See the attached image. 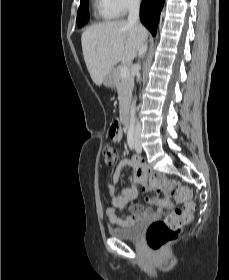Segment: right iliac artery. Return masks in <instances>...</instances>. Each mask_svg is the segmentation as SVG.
I'll list each match as a JSON object with an SVG mask.
<instances>
[{"mask_svg":"<svg viewBox=\"0 0 229 280\" xmlns=\"http://www.w3.org/2000/svg\"><path fill=\"white\" fill-rule=\"evenodd\" d=\"M127 142H128V146L130 147V149L133 150L134 146H135L133 130L128 131Z\"/></svg>","mask_w":229,"mask_h":280,"instance_id":"right-iliac-artery-1","label":"right iliac artery"}]
</instances>
